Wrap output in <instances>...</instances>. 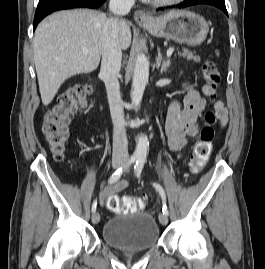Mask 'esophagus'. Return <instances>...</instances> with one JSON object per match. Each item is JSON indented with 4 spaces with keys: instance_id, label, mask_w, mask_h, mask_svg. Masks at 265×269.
<instances>
[{
    "instance_id": "esophagus-1",
    "label": "esophagus",
    "mask_w": 265,
    "mask_h": 269,
    "mask_svg": "<svg viewBox=\"0 0 265 269\" xmlns=\"http://www.w3.org/2000/svg\"><path fill=\"white\" fill-rule=\"evenodd\" d=\"M134 19L137 23H151L152 22V17L146 13L145 11L142 10H137L134 13Z\"/></svg>"
}]
</instances>
